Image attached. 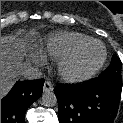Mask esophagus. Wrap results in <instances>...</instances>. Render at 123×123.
Segmentation results:
<instances>
[{
    "mask_svg": "<svg viewBox=\"0 0 123 123\" xmlns=\"http://www.w3.org/2000/svg\"><path fill=\"white\" fill-rule=\"evenodd\" d=\"M53 90V85L51 84L50 81H45L43 85V91L44 92H50Z\"/></svg>",
    "mask_w": 123,
    "mask_h": 123,
    "instance_id": "obj_1",
    "label": "esophagus"
}]
</instances>
